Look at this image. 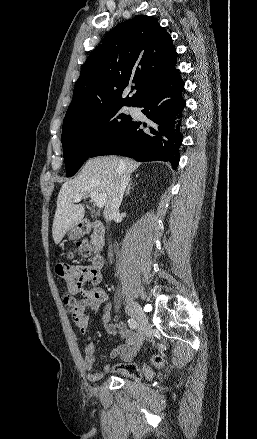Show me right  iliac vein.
Here are the masks:
<instances>
[{"label":"right iliac vein","instance_id":"right-iliac-vein-1","mask_svg":"<svg viewBox=\"0 0 257 439\" xmlns=\"http://www.w3.org/2000/svg\"><path fill=\"white\" fill-rule=\"evenodd\" d=\"M126 310L127 313L132 318H134L139 325L138 346H140L144 341L146 330H147V325H148L147 317L135 302L128 303L126 306Z\"/></svg>","mask_w":257,"mask_h":439}]
</instances>
